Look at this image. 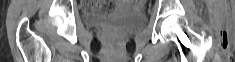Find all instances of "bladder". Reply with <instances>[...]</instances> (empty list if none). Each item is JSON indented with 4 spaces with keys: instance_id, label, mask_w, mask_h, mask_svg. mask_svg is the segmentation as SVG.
I'll use <instances>...</instances> for the list:
<instances>
[{
    "instance_id": "bladder-1",
    "label": "bladder",
    "mask_w": 235,
    "mask_h": 62,
    "mask_svg": "<svg viewBox=\"0 0 235 62\" xmlns=\"http://www.w3.org/2000/svg\"><path fill=\"white\" fill-rule=\"evenodd\" d=\"M85 21L93 27H100L105 24H117L128 30L138 29L145 25L146 16L144 12L132 2L122 1L117 8L107 15L87 13Z\"/></svg>"
}]
</instances>
